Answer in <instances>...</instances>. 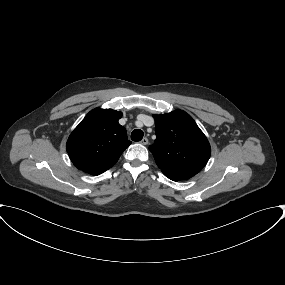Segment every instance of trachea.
I'll use <instances>...</instances> for the list:
<instances>
[{
	"label": "trachea",
	"instance_id": "3493384b",
	"mask_svg": "<svg viewBox=\"0 0 285 285\" xmlns=\"http://www.w3.org/2000/svg\"><path fill=\"white\" fill-rule=\"evenodd\" d=\"M143 135H144V133H143L142 130H140V129H135V130H133L132 133H131V140H132V141H135V142L141 141L142 138H143Z\"/></svg>",
	"mask_w": 285,
	"mask_h": 285
}]
</instances>
